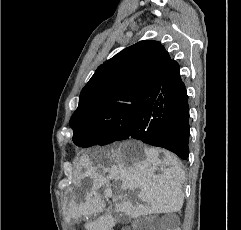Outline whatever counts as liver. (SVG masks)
Masks as SVG:
<instances>
[{"mask_svg":"<svg viewBox=\"0 0 241 230\" xmlns=\"http://www.w3.org/2000/svg\"><path fill=\"white\" fill-rule=\"evenodd\" d=\"M144 153L145 159H140ZM160 167L161 173L155 174ZM84 169V172L80 171ZM76 185L81 187L85 179L91 181L85 202L75 199L67 202V217L70 220L88 217L98 212L103 201L98 190L109 186L110 181H120V190L139 188L138 198L143 204L133 205L129 200L120 204L119 212L136 218L152 213L178 212L184 201L182 184L185 179L183 166L175 155L167 150L148 148L140 142L127 141L104 152L94 161L86 155L80 159ZM113 218L106 214L94 222L85 224L87 230H110Z\"/></svg>","mask_w":241,"mask_h":230,"instance_id":"obj_1","label":"liver"}]
</instances>
